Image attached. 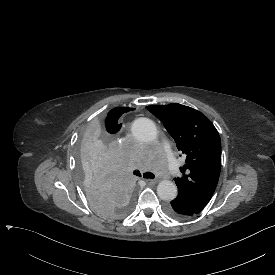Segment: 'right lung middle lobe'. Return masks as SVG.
Masks as SVG:
<instances>
[{"mask_svg": "<svg viewBox=\"0 0 275 275\" xmlns=\"http://www.w3.org/2000/svg\"><path fill=\"white\" fill-rule=\"evenodd\" d=\"M74 164L76 180L96 211L114 219L129 214L134 199L131 186L123 160L103 125L94 123L84 127Z\"/></svg>", "mask_w": 275, "mask_h": 275, "instance_id": "1", "label": "right lung middle lobe"}]
</instances>
